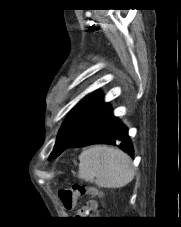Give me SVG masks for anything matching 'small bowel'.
Listing matches in <instances>:
<instances>
[{"label":"small bowel","instance_id":"small-bowel-1","mask_svg":"<svg viewBox=\"0 0 181 227\" xmlns=\"http://www.w3.org/2000/svg\"><path fill=\"white\" fill-rule=\"evenodd\" d=\"M98 203L96 201H90L79 210V215H87L90 212H97Z\"/></svg>","mask_w":181,"mask_h":227}]
</instances>
